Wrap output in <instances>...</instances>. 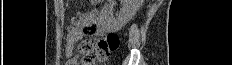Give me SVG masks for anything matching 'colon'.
I'll return each instance as SVG.
<instances>
[{
	"mask_svg": "<svg viewBox=\"0 0 232 65\" xmlns=\"http://www.w3.org/2000/svg\"><path fill=\"white\" fill-rule=\"evenodd\" d=\"M97 0H95L96 2ZM79 19L76 20L78 22ZM74 29H70V33ZM120 39L115 33H109L98 41L86 40L80 45V51L83 58L90 64L104 60L110 52L119 47Z\"/></svg>",
	"mask_w": 232,
	"mask_h": 65,
	"instance_id": "1",
	"label": "colon"
}]
</instances>
